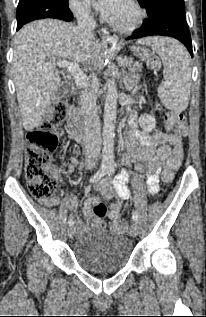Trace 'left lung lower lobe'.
Wrapping results in <instances>:
<instances>
[{
	"label": "left lung lower lobe",
	"mask_w": 206,
	"mask_h": 317,
	"mask_svg": "<svg viewBox=\"0 0 206 317\" xmlns=\"http://www.w3.org/2000/svg\"><path fill=\"white\" fill-rule=\"evenodd\" d=\"M136 31L135 34L127 37L126 40L152 35L169 36L181 41L187 47L191 56H193L190 32L184 18L175 16L158 17L145 21Z\"/></svg>",
	"instance_id": "0a47b994"
}]
</instances>
